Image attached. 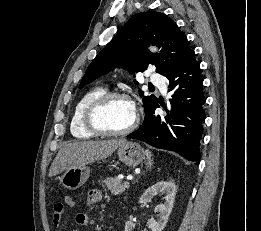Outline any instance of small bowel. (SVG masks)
I'll use <instances>...</instances> for the list:
<instances>
[{
    "label": "small bowel",
    "instance_id": "small-bowel-1",
    "mask_svg": "<svg viewBox=\"0 0 261 231\" xmlns=\"http://www.w3.org/2000/svg\"><path fill=\"white\" fill-rule=\"evenodd\" d=\"M101 200H102L101 192L98 190H93L88 195L86 206H89ZM63 212H64V207L62 204H56L54 206L53 223L56 228H58L61 223ZM75 220H76V224L79 226H86L89 224V216L83 210L77 213Z\"/></svg>",
    "mask_w": 261,
    "mask_h": 231
}]
</instances>
